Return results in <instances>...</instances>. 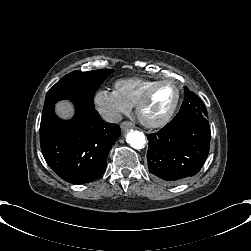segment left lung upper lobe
Masks as SVG:
<instances>
[{
  "mask_svg": "<svg viewBox=\"0 0 251 251\" xmlns=\"http://www.w3.org/2000/svg\"><path fill=\"white\" fill-rule=\"evenodd\" d=\"M184 94L185 100L182 103L180 111L173 120L187 116H202L207 118V110L202 100L187 87H184Z\"/></svg>",
  "mask_w": 251,
  "mask_h": 251,
  "instance_id": "obj_1",
  "label": "left lung upper lobe"
}]
</instances>
